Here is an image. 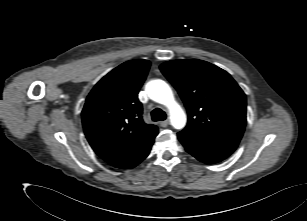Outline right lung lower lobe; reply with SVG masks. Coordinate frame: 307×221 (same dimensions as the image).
<instances>
[{
	"mask_svg": "<svg viewBox=\"0 0 307 221\" xmlns=\"http://www.w3.org/2000/svg\"><path fill=\"white\" fill-rule=\"evenodd\" d=\"M153 143H151L146 149H144L141 153H139L137 156H135L133 159H131L129 162L124 164L123 166L117 167L121 169H130L138 165L141 161H143L149 154L151 146Z\"/></svg>",
	"mask_w": 307,
	"mask_h": 221,
	"instance_id": "98d812e1",
	"label": "right lung lower lobe"
}]
</instances>
